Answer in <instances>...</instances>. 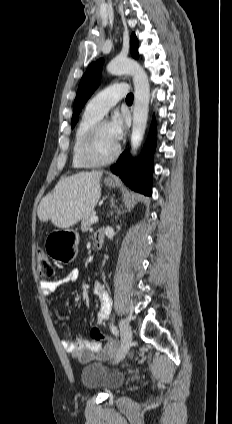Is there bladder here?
Masks as SVG:
<instances>
[{
    "instance_id": "obj_1",
    "label": "bladder",
    "mask_w": 232,
    "mask_h": 424,
    "mask_svg": "<svg viewBox=\"0 0 232 424\" xmlns=\"http://www.w3.org/2000/svg\"><path fill=\"white\" fill-rule=\"evenodd\" d=\"M81 381L90 389L112 391L124 382V375L104 363H91L81 371Z\"/></svg>"
}]
</instances>
